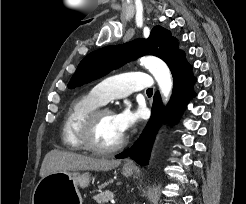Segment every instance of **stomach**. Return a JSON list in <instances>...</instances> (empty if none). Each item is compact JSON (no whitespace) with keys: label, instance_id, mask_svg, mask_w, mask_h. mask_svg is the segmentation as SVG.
I'll return each instance as SVG.
<instances>
[{"label":"stomach","instance_id":"1","mask_svg":"<svg viewBox=\"0 0 246 204\" xmlns=\"http://www.w3.org/2000/svg\"><path fill=\"white\" fill-rule=\"evenodd\" d=\"M125 177L134 175V169L123 168ZM89 173L56 172L42 178L36 185L32 204H81L82 197L78 188L90 184Z\"/></svg>","mask_w":246,"mask_h":204}]
</instances>
